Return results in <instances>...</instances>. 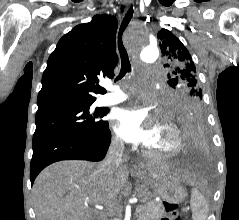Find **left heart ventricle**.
<instances>
[{
    "label": "left heart ventricle",
    "mask_w": 239,
    "mask_h": 220,
    "mask_svg": "<svg viewBox=\"0 0 239 220\" xmlns=\"http://www.w3.org/2000/svg\"><path fill=\"white\" fill-rule=\"evenodd\" d=\"M173 139L169 131L163 126V124L157 123L154 129L153 136L146 144L154 149H169L172 145Z\"/></svg>",
    "instance_id": "left-heart-ventricle-1"
}]
</instances>
